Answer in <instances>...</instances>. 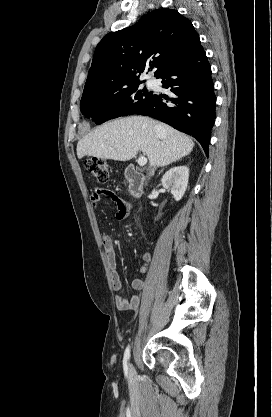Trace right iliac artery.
<instances>
[{
    "mask_svg": "<svg viewBox=\"0 0 272 417\" xmlns=\"http://www.w3.org/2000/svg\"><path fill=\"white\" fill-rule=\"evenodd\" d=\"M130 358V346H127L125 353H124V371L127 374L128 372V366H127V361Z\"/></svg>",
    "mask_w": 272,
    "mask_h": 417,
    "instance_id": "obj_1",
    "label": "right iliac artery"
}]
</instances>
